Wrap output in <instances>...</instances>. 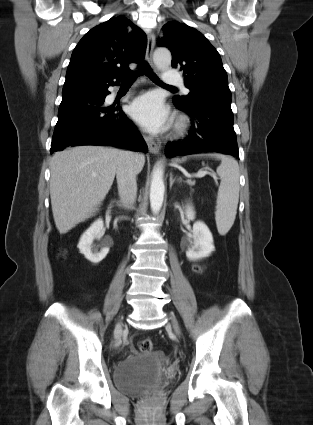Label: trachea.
Here are the masks:
<instances>
[{"label": "trachea", "instance_id": "1", "mask_svg": "<svg viewBox=\"0 0 313 425\" xmlns=\"http://www.w3.org/2000/svg\"><path fill=\"white\" fill-rule=\"evenodd\" d=\"M145 74L147 77H149L150 80H152L154 83L159 84L161 86L164 87H170V88H174L173 86L170 85H166L164 84L159 78L158 76L152 71V69L150 68L148 63H142L140 65V69L131 77L127 78L124 80V82H133L135 81V79L140 76Z\"/></svg>", "mask_w": 313, "mask_h": 425}]
</instances>
